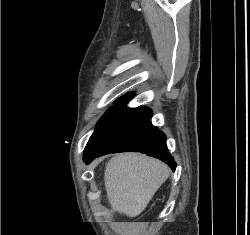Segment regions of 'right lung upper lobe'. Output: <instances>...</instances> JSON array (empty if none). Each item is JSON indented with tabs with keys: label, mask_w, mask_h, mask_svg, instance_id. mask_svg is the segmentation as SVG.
<instances>
[{
	"label": "right lung upper lobe",
	"mask_w": 250,
	"mask_h": 235,
	"mask_svg": "<svg viewBox=\"0 0 250 235\" xmlns=\"http://www.w3.org/2000/svg\"><path fill=\"white\" fill-rule=\"evenodd\" d=\"M133 95H134V93H129V94L125 95L122 98H129V99H131L133 97Z\"/></svg>",
	"instance_id": "right-lung-upper-lobe-1"
}]
</instances>
